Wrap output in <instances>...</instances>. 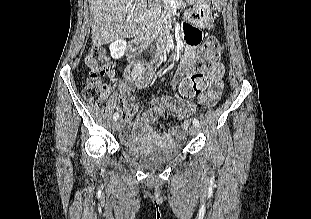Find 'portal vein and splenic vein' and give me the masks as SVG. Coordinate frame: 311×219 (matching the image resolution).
Instances as JSON below:
<instances>
[{"label":"portal vein and splenic vein","mask_w":311,"mask_h":219,"mask_svg":"<svg viewBox=\"0 0 311 219\" xmlns=\"http://www.w3.org/2000/svg\"><path fill=\"white\" fill-rule=\"evenodd\" d=\"M165 1L168 2L169 4H171V6L173 8L178 7V4H177L176 0H165Z\"/></svg>","instance_id":"18ae733b"}]
</instances>
